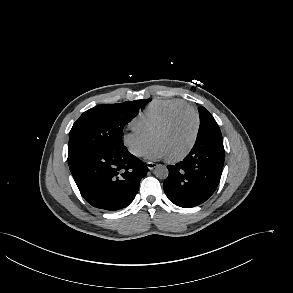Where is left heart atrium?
<instances>
[{
  "label": "left heart atrium",
  "mask_w": 293,
  "mask_h": 293,
  "mask_svg": "<svg viewBox=\"0 0 293 293\" xmlns=\"http://www.w3.org/2000/svg\"><path fill=\"white\" fill-rule=\"evenodd\" d=\"M146 157L149 160H157L167 157V154L159 144L154 143L148 150Z\"/></svg>",
  "instance_id": "1"
}]
</instances>
